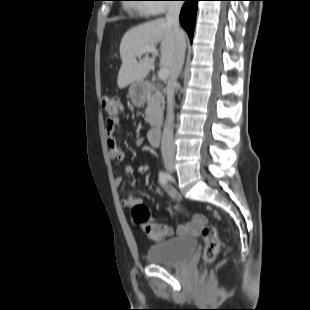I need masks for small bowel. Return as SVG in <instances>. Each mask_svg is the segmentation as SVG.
<instances>
[{
	"label": "small bowel",
	"instance_id": "small-bowel-1",
	"mask_svg": "<svg viewBox=\"0 0 310 310\" xmlns=\"http://www.w3.org/2000/svg\"><path fill=\"white\" fill-rule=\"evenodd\" d=\"M107 134H108L107 144L111 159L114 160L116 163L123 162L125 160V154L117 144L115 125L114 126L108 125ZM135 145L137 147H142L144 145V139L142 137H137L135 139ZM121 181H122L121 176H117L115 178V184L117 186L121 184ZM160 186L162 190L169 196L170 199H172L173 201L180 200V195L170 185L160 182ZM136 204H138V199L132 193H128L122 199V205L126 208H132ZM206 222L207 219L204 215L196 214L190 223L179 225L177 227L176 232L177 234L182 236L195 234ZM142 227L148 238L155 242L163 241L167 236H169L172 233L171 227L162 223H148L143 224Z\"/></svg>",
	"mask_w": 310,
	"mask_h": 310
}]
</instances>
